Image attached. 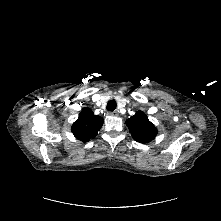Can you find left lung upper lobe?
I'll list each match as a JSON object with an SVG mask.
<instances>
[{"label":"left lung upper lobe","mask_w":221,"mask_h":221,"mask_svg":"<svg viewBox=\"0 0 221 221\" xmlns=\"http://www.w3.org/2000/svg\"><path fill=\"white\" fill-rule=\"evenodd\" d=\"M126 125L134 140L140 143H148L157 135L156 127L142 111L127 119Z\"/></svg>","instance_id":"obj_1"}]
</instances>
